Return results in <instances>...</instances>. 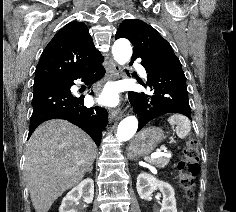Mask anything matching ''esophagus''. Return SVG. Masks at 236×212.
I'll list each match as a JSON object with an SVG mask.
<instances>
[{
  "label": "esophagus",
  "instance_id": "esophagus-1",
  "mask_svg": "<svg viewBox=\"0 0 236 212\" xmlns=\"http://www.w3.org/2000/svg\"><path fill=\"white\" fill-rule=\"evenodd\" d=\"M119 70H120L119 66L115 62L111 61V65L108 71V77L110 79H116L119 75ZM120 116H121L120 109H111L109 111L110 120L119 119Z\"/></svg>",
  "mask_w": 236,
  "mask_h": 212
}]
</instances>
